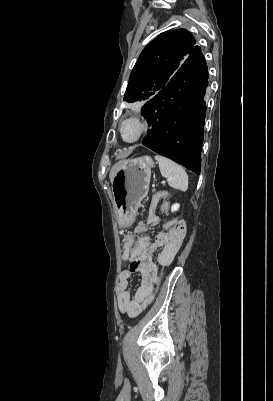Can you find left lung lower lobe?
Listing matches in <instances>:
<instances>
[{
	"label": "left lung lower lobe",
	"instance_id": "left-lung-lower-lobe-1",
	"mask_svg": "<svg viewBox=\"0 0 273 401\" xmlns=\"http://www.w3.org/2000/svg\"><path fill=\"white\" fill-rule=\"evenodd\" d=\"M208 68L194 46L166 86L141 110L153 125L143 145L196 174L201 169Z\"/></svg>",
	"mask_w": 273,
	"mask_h": 401
}]
</instances>
